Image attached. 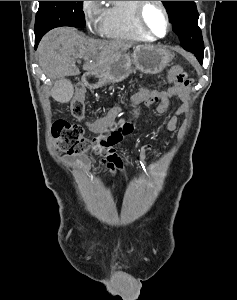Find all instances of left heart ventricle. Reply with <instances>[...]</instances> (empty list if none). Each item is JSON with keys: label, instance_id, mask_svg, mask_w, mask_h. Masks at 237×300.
I'll list each match as a JSON object with an SVG mask.
<instances>
[{"label": "left heart ventricle", "instance_id": "b2bd125f", "mask_svg": "<svg viewBox=\"0 0 237 300\" xmlns=\"http://www.w3.org/2000/svg\"><path fill=\"white\" fill-rule=\"evenodd\" d=\"M145 17L147 24L156 34L163 35L165 33V19L159 6L150 4L146 10Z\"/></svg>", "mask_w": 237, "mask_h": 300}]
</instances>
